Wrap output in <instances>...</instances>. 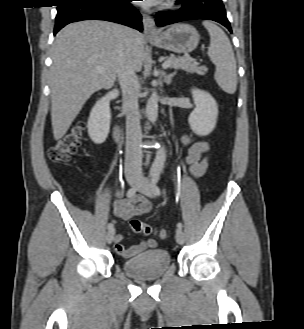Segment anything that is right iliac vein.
<instances>
[{
	"mask_svg": "<svg viewBox=\"0 0 304 329\" xmlns=\"http://www.w3.org/2000/svg\"><path fill=\"white\" fill-rule=\"evenodd\" d=\"M128 183L131 185V186H135L137 184V179L135 177H129L128 178ZM114 235H115V230L112 228V229H109V231L107 232V235H106V241L107 243H112L113 239H114Z\"/></svg>",
	"mask_w": 304,
	"mask_h": 329,
	"instance_id": "63e3f726",
	"label": "right iliac vein"
}]
</instances>
